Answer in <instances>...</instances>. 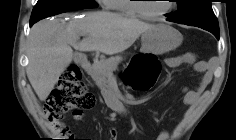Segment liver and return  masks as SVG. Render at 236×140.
Instances as JSON below:
<instances>
[{"label":"liver","instance_id":"liver-1","mask_svg":"<svg viewBox=\"0 0 236 140\" xmlns=\"http://www.w3.org/2000/svg\"><path fill=\"white\" fill-rule=\"evenodd\" d=\"M152 27L138 19L109 12L87 13L71 25L64 20L39 21L28 38L27 77L39 99L45 101L73 59L71 45L79 51L114 55L128 49ZM80 36L85 38L77 42Z\"/></svg>","mask_w":236,"mask_h":140}]
</instances>
